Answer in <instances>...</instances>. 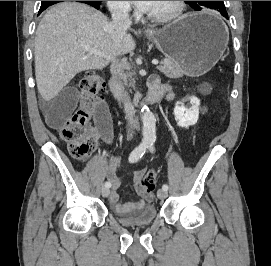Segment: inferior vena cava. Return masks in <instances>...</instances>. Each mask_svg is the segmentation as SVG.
I'll list each match as a JSON object with an SVG mask.
<instances>
[{
    "label": "inferior vena cava",
    "mask_w": 271,
    "mask_h": 266,
    "mask_svg": "<svg viewBox=\"0 0 271 266\" xmlns=\"http://www.w3.org/2000/svg\"><path fill=\"white\" fill-rule=\"evenodd\" d=\"M129 8L130 6L127 3L117 4L111 8L112 21L110 22L109 31L116 48L120 47L124 34L132 24L129 17ZM110 70L112 74L123 77V68L121 64L113 63ZM124 112L126 118L132 125L133 117L135 115V108L128 98L124 100Z\"/></svg>",
    "instance_id": "602c4592"
}]
</instances>
